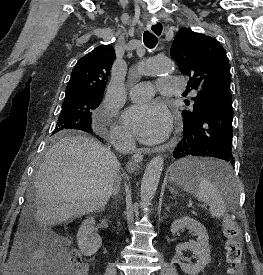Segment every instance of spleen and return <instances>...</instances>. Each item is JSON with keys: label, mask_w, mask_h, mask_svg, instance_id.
Returning <instances> with one entry per match:
<instances>
[{"label": "spleen", "mask_w": 263, "mask_h": 275, "mask_svg": "<svg viewBox=\"0 0 263 275\" xmlns=\"http://www.w3.org/2000/svg\"><path fill=\"white\" fill-rule=\"evenodd\" d=\"M170 180L206 203L213 218L222 217L238 199V179L221 160L185 158L172 165Z\"/></svg>", "instance_id": "obj_1"}]
</instances>
